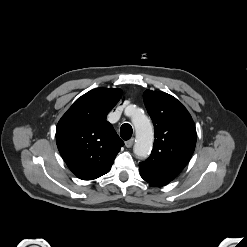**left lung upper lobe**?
<instances>
[{
	"instance_id": "obj_1",
	"label": "left lung upper lobe",
	"mask_w": 247,
	"mask_h": 247,
	"mask_svg": "<svg viewBox=\"0 0 247 247\" xmlns=\"http://www.w3.org/2000/svg\"><path fill=\"white\" fill-rule=\"evenodd\" d=\"M143 98L154 124L155 140L150 157L139 163L140 175L155 186H163L189 162L196 145V128L187 109L175 97L146 90Z\"/></svg>"
}]
</instances>
